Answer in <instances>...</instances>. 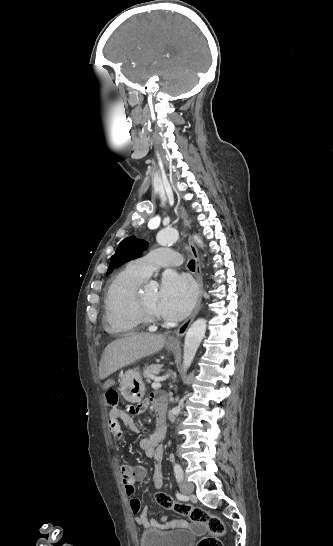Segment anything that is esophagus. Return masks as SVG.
I'll return each instance as SVG.
<instances>
[{
	"label": "esophagus",
	"mask_w": 333,
	"mask_h": 546,
	"mask_svg": "<svg viewBox=\"0 0 333 546\" xmlns=\"http://www.w3.org/2000/svg\"><path fill=\"white\" fill-rule=\"evenodd\" d=\"M189 248H190V251H191V253H192V255H193L194 259H195V263H196L195 264V278H196L198 288H199V296H198L196 306H195L193 312L191 313V315L189 316V318H187L184 321V323L182 325H180L177 330H175L174 335H172L169 338L168 342L170 344H174V345H178L180 343V338L184 336V334L188 330L189 326L193 322L194 318L196 317V315H197V313H198V311L200 309V305H201V301H202L203 277H202V270H201L199 252L197 250V247L195 246V244L192 241H189Z\"/></svg>",
	"instance_id": "obj_1"
}]
</instances>
